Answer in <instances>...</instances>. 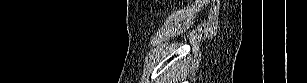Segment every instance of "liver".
I'll list each match as a JSON object with an SVG mask.
<instances>
[{
	"instance_id": "liver-1",
	"label": "liver",
	"mask_w": 307,
	"mask_h": 83,
	"mask_svg": "<svg viewBox=\"0 0 307 83\" xmlns=\"http://www.w3.org/2000/svg\"><path fill=\"white\" fill-rule=\"evenodd\" d=\"M170 78H171V80H168V81H172L173 76H171V74H170ZM173 81H174V80H173ZM168 83H172V82H168Z\"/></svg>"
}]
</instances>
